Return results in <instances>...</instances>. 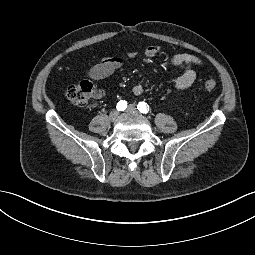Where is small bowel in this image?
<instances>
[{"label":"small bowel","mask_w":255,"mask_h":255,"mask_svg":"<svg viewBox=\"0 0 255 255\" xmlns=\"http://www.w3.org/2000/svg\"><path fill=\"white\" fill-rule=\"evenodd\" d=\"M162 48L158 45H149L145 48L144 54L147 57H154L161 53ZM170 64L182 68V73L177 77L174 82V87L177 90H183L190 87L195 79L196 72L194 66H202L203 60L195 55L188 53H176L170 58ZM124 67V60L120 57H107L94 65L88 71V77L92 80H100L106 78L116 71L122 70ZM133 94L141 96L144 87L141 83H137L133 87Z\"/></svg>","instance_id":"1"}]
</instances>
